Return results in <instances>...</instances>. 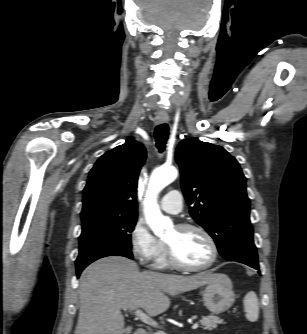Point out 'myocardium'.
<instances>
[{
	"label": "myocardium",
	"mask_w": 307,
	"mask_h": 334,
	"mask_svg": "<svg viewBox=\"0 0 307 334\" xmlns=\"http://www.w3.org/2000/svg\"><path fill=\"white\" fill-rule=\"evenodd\" d=\"M176 228L180 230H196L200 232L205 237V239L210 245L211 257L206 263L202 265H197V266L187 265L183 263L182 261H180L178 257L176 256V254L174 253L171 246L167 244L166 242H164L167 259L170 265L174 266L177 269L183 270V271L196 272V271H202V270L208 269L216 262L218 258V254H219L217 244L214 238L212 237V235L204 227L198 224H194V223H181V224H178Z\"/></svg>",
	"instance_id": "obj_1"
}]
</instances>
